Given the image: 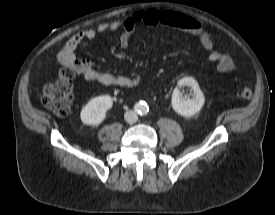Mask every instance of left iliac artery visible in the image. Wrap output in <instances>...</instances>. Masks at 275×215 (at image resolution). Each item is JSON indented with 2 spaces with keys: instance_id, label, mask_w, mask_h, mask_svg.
<instances>
[{
  "instance_id": "44dca946",
  "label": "left iliac artery",
  "mask_w": 275,
  "mask_h": 215,
  "mask_svg": "<svg viewBox=\"0 0 275 215\" xmlns=\"http://www.w3.org/2000/svg\"><path fill=\"white\" fill-rule=\"evenodd\" d=\"M147 112H148V110L146 111V110H144L143 111V115H146L147 114Z\"/></svg>"
}]
</instances>
